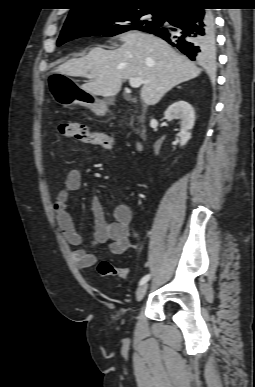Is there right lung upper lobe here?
<instances>
[{
  "label": "right lung upper lobe",
  "instance_id": "1",
  "mask_svg": "<svg viewBox=\"0 0 255 387\" xmlns=\"http://www.w3.org/2000/svg\"><path fill=\"white\" fill-rule=\"evenodd\" d=\"M192 1L195 0H76V7L71 9L65 23L76 21L81 17L98 10L112 9L115 7L141 6L151 8H162L166 10L170 7Z\"/></svg>",
  "mask_w": 255,
  "mask_h": 387
}]
</instances>
